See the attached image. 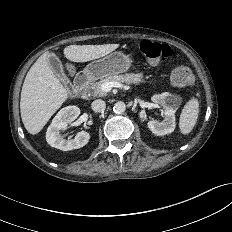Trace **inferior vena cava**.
Segmentation results:
<instances>
[{
	"instance_id": "602c4592",
	"label": "inferior vena cava",
	"mask_w": 232,
	"mask_h": 232,
	"mask_svg": "<svg viewBox=\"0 0 232 232\" xmlns=\"http://www.w3.org/2000/svg\"><path fill=\"white\" fill-rule=\"evenodd\" d=\"M92 110L95 112H102L104 111L105 107H106V103L105 101L98 99V100H94L91 104Z\"/></svg>"
}]
</instances>
